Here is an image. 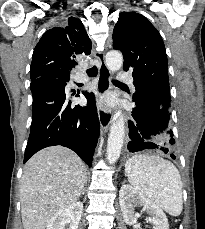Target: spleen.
I'll use <instances>...</instances> for the list:
<instances>
[{"instance_id": "obj_1", "label": "spleen", "mask_w": 205, "mask_h": 229, "mask_svg": "<svg viewBox=\"0 0 205 229\" xmlns=\"http://www.w3.org/2000/svg\"><path fill=\"white\" fill-rule=\"evenodd\" d=\"M128 181L172 216L183 209L182 180L178 169L167 160L136 155L125 164Z\"/></svg>"}]
</instances>
